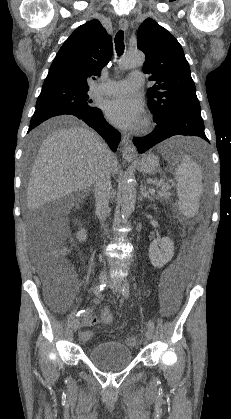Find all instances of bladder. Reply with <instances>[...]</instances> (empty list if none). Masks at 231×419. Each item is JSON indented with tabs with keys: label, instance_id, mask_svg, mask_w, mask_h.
<instances>
[{
	"label": "bladder",
	"instance_id": "1",
	"mask_svg": "<svg viewBox=\"0 0 231 419\" xmlns=\"http://www.w3.org/2000/svg\"><path fill=\"white\" fill-rule=\"evenodd\" d=\"M87 358L95 367L104 371L124 369L133 360L131 349L118 341H103L89 349Z\"/></svg>",
	"mask_w": 231,
	"mask_h": 419
}]
</instances>
